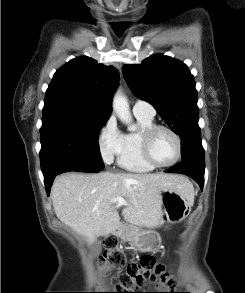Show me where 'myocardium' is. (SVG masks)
Listing matches in <instances>:
<instances>
[{"instance_id":"obj_1","label":"myocardium","mask_w":245,"mask_h":293,"mask_svg":"<svg viewBox=\"0 0 245 293\" xmlns=\"http://www.w3.org/2000/svg\"><path fill=\"white\" fill-rule=\"evenodd\" d=\"M159 130H165V131L169 132L172 135V137L174 138V140L176 142V146H177L176 156L174 157V159L171 162L165 163V164H160V163L156 162L151 154L152 139H153V136L156 134V132ZM140 147H141V152H142V155H143L145 161L155 168H166V167L173 166L175 163L178 162V160L181 157V153H182V141H181L179 134L171 127H169L167 125H161V124H155L149 128H146L145 130H143L141 132Z\"/></svg>"}]
</instances>
